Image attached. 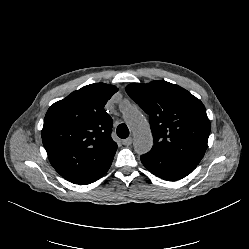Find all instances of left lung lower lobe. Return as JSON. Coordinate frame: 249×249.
Returning <instances> with one entry per match:
<instances>
[{
    "label": "left lung lower lobe",
    "mask_w": 249,
    "mask_h": 249,
    "mask_svg": "<svg viewBox=\"0 0 249 249\" xmlns=\"http://www.w3.org/2000/svg\"><path fill=\"white\" fill-rule=\"evenodd\" d=\"M141 161L151 173L169 181L182 179L190 174L197 166L163 155L150 153L142 155Z\"/></svg>",
    "instance_id": "obj_1"
}]
</instances>
